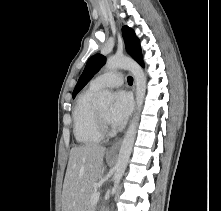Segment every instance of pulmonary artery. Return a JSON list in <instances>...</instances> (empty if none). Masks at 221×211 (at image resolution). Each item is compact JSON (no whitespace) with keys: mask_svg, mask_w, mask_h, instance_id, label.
I'll list each match as a JSON object with an SVG mask.
<instances>
[{"mask_svg":"<svg viewBox=\"0 0 221 211\" xmlns=\"http://www.w3.org/2000/svg\"><path fill=\"white\" fill-rule=\"evenodd\" d=\"M124 82V77L119 72H108L101 74L91 81V84L98 88L118 87Z\"/></svg>","mask_w":221,"mask_h":211,"instance_id":"obj_1","label":"pulmonary artery"}]
</instances>
